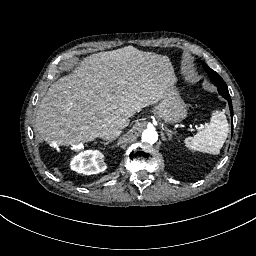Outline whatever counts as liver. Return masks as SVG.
<instances>
[{"instance_id": "obj_1", "label": "liver", "mask_w": 256, "mask_h": 256, "mask_svg": "<svg viewBox=\"0 0 256 256\" xmlns=\"http://www.w3.org/2000/svg\"><path fill=\"white\" fill-rule=\"evenodd\" d=\"M175 84L166 55L134 46L93 54L49 88L36 112L37 131L48 143L94 142L104 131L126 128Z\"/></svg>"}]
</instances>
